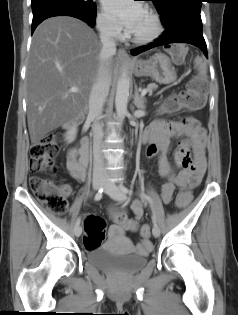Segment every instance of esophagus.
<instances>
[{
    "mask_svg": "<svg viewBox=\"0 0 238 315\" xmlns=\"http://www.w3.org/2000/svg\"><path fill=\"white\" fill-rule=\"evenodd\" d=\"M117 56L120 60L131 62V58L129 57L128 53L124 49H119Z\"/></svg>",
    "mask_w": 238,
    "mask_h": 315,
    "instance_id": "34e87169",
    "label": "esophagus"
}]
</instances>
